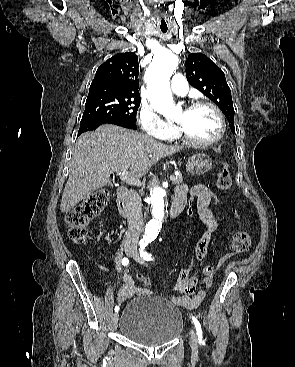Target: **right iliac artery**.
Masks as SVG:
<instances>
[{
	"label": "right iliac artery",
	"mask_w": 295,
	"mask_h": 367,
	"mask_svg": "<svg viewBox=\"0 0 295 367\" xmlns=\"http://www.w3.org/2000/svg\"><path fill=\"white\" fill-rule=\"evenodd\" d=\"M116 262L118 263V264H122L123 266H127L128 264H129V259L128 258H126V257H124V258H122V256H118L117 258H116ZM119 311V307L118 306H116L115 307V312H118Z\"/></svg>",
	"instance_id": "82829eb1"
}]
</instances>
